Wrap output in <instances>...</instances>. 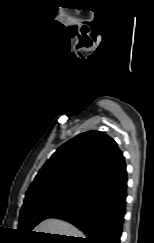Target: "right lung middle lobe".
<instances>
[{"mask_svg": "<svg viewBox=\"0 0 154 243\" xmlns=\"http://www.w3.org/2000/svg\"><path fill=\"white\" fill-rule=\"evenodd\" d=\"M86 200L69 195H53L24 202L20 211L18 230L22 235L30 234L31 230L41 221L81 206Z\"/></svg>", "mask_w": 154, "mask_h": 243, "instance_id": "right-lung-middle-lobe-1", "label": "right lung middle lobe"}]
</instances>
